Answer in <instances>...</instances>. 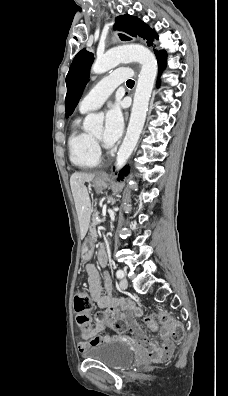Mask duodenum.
I'll use <instances>...</instances> for the list:
<instances>
[{"label": "duodenum", "instance_id": "obj_1", "mask_svg": "<svg viewBox=\"0 0 228 396\" xmlns=\"http://www.w3.org/2000/svg\"><path fill=\"white\" fill-rule=\"evenodd\" d=\"M105 263H106V260L104 258H100V264L105 265Z\"/></svg>", "mask_w": 228, "mask_h": 396}]
</instances>
